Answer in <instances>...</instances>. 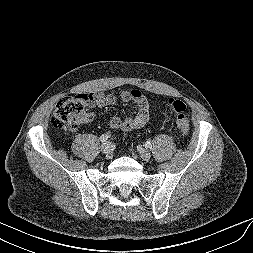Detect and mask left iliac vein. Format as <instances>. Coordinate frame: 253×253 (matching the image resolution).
<instances>
[{"mask_svg": "<svg viewBox=\"0 0 253 253\" xmlns=\"http://www.w3.org/2000/svg\"><path fill=\"white\" fill-rule=\"evenodd\" d=\"M139 154H140V157L145 161H148L151 157L150 152L146 149H140Z\"/></svg>", "mask_w": 253, "mask_h": 253, "instance_id": "1", "label": "left iliac vein"}]
</instances>
